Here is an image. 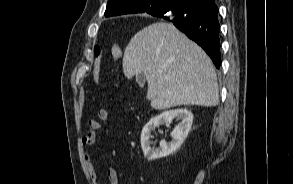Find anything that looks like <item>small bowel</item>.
<instances>
[{"instance_id":"obj_1","label":"small bowel","mask_w":293,"mask_h":184,"mask_svg":"<svg viewBox=\"0 0 293 184\" xmlns=\"http://www.w3.org/2000/svg\"><path fill=\"white\" fill-rule=\"evenodd\" d=\"M98 118L99 120L92 119L89 121V130L82 138V145L85 147L94 145L97 138V132L101 129V122H106L110 119L109 111L106 109H100L98 112ZM86 163L93 183L99 184L95 166L90 154H86ZM107 175L110 180V184H119L118 172L116 169H108Z\"/></svg>"}]
</instances>
